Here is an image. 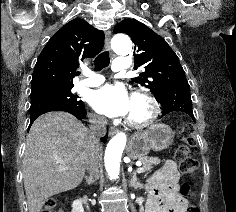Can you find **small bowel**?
Listing matches in <instances>:
<instances>
[{"label": "small bowel", "instance_id": "small-bowel-1", "mask_svg": "<svg viewBox=\"0 0 236 212\" xmlns=\"http://www.w3.org/2000/svg\"><path fill=\"white\" fill-rule=\"evenodd\" d=\"M179 172L176 164L168 160L147 185L150 194L145 212H187V201L177 191Z\"/></svg>", "mask_w": 236, "mask_h": 212}]
</instances>
